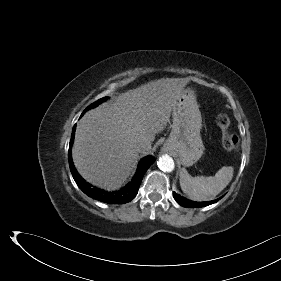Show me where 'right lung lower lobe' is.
<instances>
[{"label":"right lung lower lobe","instance_id":"right-lung-lower-lobe-1","mask_svg":"<svg viewBox=\"0 0 281 281\" xmlns=\"http://www.w3.org/2000/svg\"><path fill=\"white\" fill-rule=\"evenodd\" d=\"M83 115V114H82ZM75 128L76 125L73 127L71 140L69 144V152H68V158H69V166L71 173L73 175V178L76 182V184L80 187V189L87 194L89 197L104 202L108 204H124L129 201H131L136 194L138 193L139 186L141 184V181L143 179V176L149 166L155 161V158L153 156H147L141 160L139 163L137 172L132 179V182H130L127 186L124 188L114 191V192H108L103 191L97 187H93L91 184L87 183L76 171L72 158H71V146L74 139L75 134Z\"/></svg>","mask_w":281,"mask_h":281}]
</instances>
